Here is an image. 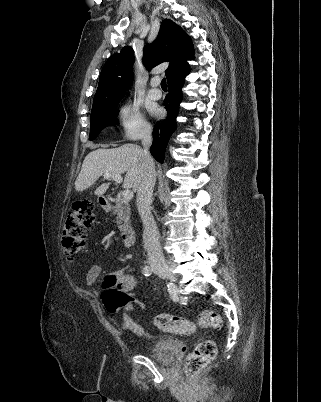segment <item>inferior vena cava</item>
<instances>
[{
    "mask_svg": "<svg viewBox=\"0 0 321 402\" xmlns=\"http://www.w3.org/2000/svg\"><path fill=\"white\" fill-rule=\"evenodd\" d=\"M152 144L151 129H146L142 137L143 146V176L137 190V209L143 222L148 252V262L151 267L166 266L160 244V235L156 222L151 214L153 188L156 182V172L153 158L149 153Z\"/></svg>",
    "mask_w": 321,
    "mask_h": 402,
    "instance_id": "obj_1",
    "label": "inferior vena cava"
}]
</instances>
